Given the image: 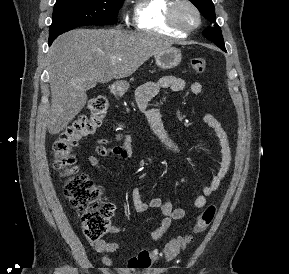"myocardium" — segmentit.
<instances>
[{
    "mask_svg": "<svg viewBox=\"0 0 289 274\" xmlns=\"http://www.w3.org/2000/svg\"><path fill=\"white\" fill-rule=\"evenodd\" d=\"M186 5L193 10L196 16V23L191 26H184L180 23L177 17L178 8ZM202 22V15L199 8L191 0H173L167 11V23L174 30L182 34H190L198 29Z\"/></svg>",
    "mask_w": 289,
    "mask_h": 274,
    "instance_id": "1",
    "label": "myocardium"
}]
</instances>
